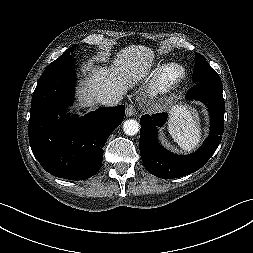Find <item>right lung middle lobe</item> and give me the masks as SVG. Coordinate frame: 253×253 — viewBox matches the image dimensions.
<instances>
[{
  "instance_id": "1",
  "label": "right lung middle lobe",
  "mask_w": 253,
  "mask_h": 253,
  "mask_svg": "<svg viewBox=\"0 0 253 253\" xmlns=\"http://www.w3.org/2000/svg\"><path fill=\"white\" fill-rule=\"evenodd\" d=\"M75 48V46L71 47L69 50H67L66 52H64L58 59H56L55 61H53L52 63H50L48 66L58 63L66 58H68V56L70 55V53L73 51V49Z\"/></svg>"
}]
</instances>
